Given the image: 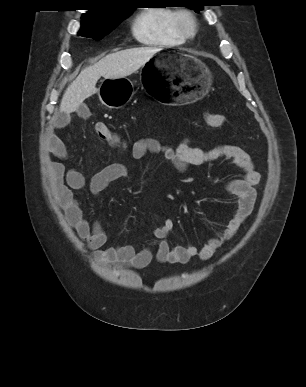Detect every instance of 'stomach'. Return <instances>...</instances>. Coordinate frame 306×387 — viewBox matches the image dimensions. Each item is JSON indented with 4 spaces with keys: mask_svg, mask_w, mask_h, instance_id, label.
<instances>
[{
    "mask_svg": "<svg viewBox=\"0 0 306 387\" xmlns=\"http://www.w3.org/2000/svg\"><path fill=\"white\" fill-rule=\"evenodd\" d=\"M141 80L145 86L140 89L146 87L163 108H189L208 93L212 76L196 57L179 52L177 46H165L142 66ZM128 83L124 78L105 81L98 91L101 102L109 108L121 107L130 95Z\"/></svg>",
    "mask_w": 306,
    "mask_h": 387,
    "instance_id": "stomach-1",
    "label": "stomach"
}]
</instances>
